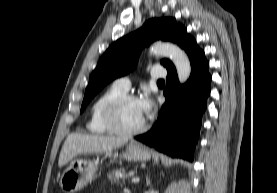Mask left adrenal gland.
Listing matches in <instances>:
<instances>
[{
	"instance_id": "a2214340",
	"label": "left adrenal gland",
	"mask_w": 277,
	"mask_h": 193,
	"mask_svg": "<svg viewBox=\"0 0 277 193\" xmlns=\"http://www.w3.org/2000/svg\"><path fill=\"white\" fill-rule=\"evenodd\" d=\"M146 183H147V185H150V184H151V182H150V180H149L148 177L146 178Z\"/></svg>"
}]
</instances>
